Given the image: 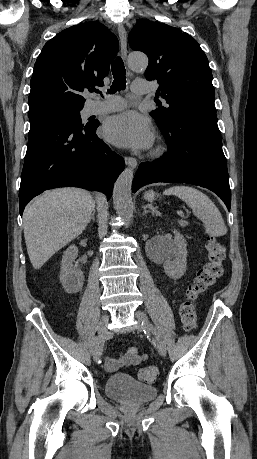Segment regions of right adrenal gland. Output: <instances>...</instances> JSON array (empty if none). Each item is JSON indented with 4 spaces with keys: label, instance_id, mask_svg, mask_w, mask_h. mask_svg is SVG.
Masks as SVG:
<instances>
[{
    "label": "right adrenal gland",
    "instance_id": "right-adrenal-gland-1",
    "mask_svg": "<svg viewBox=\"0 0 257 459\" xmlns=\"http://www.w3.org/2000/svg\"><path fill=\"white\" fill-rule=\"evenodd\" d=\"M94 215H95V211L93 212V214H92V216H91V218H90V221H91V220H92V221H95ZM90 221H89V222H90Z\"/></svg>",
    "mask_w": 257,
    "mask_h": 459
}]
</instances>
